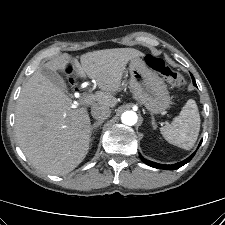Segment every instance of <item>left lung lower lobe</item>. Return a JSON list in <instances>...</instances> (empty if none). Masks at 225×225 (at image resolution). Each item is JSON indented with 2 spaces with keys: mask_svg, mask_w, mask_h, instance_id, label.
<instances>
[{
  "mask_svg": "<svg viewBox=\"0 0 225 225\" xmlns=\"http://www.w3.org/2000/svg\"><path fill=\"white\" fill-rule=\"evenodd\" d=\"M191 77H192V80H193V84L196 86V82H195V79H194L192 74H191ZM201 142H200V144H201ZM200 144H199V146H200ZM194 155H195V152L191 156H189L186 160H184L182 162H179L177 164H173V165H163V164L154 163V162L146 160L142 155H140V159L144 163H146L147 165H149L151 167H154V168L166 169V170H175V169H178V168L182 167L186 163H188L193 158Z\"/></svg>",
  "mask_w": 225,
  "mask_h": 225,
  "instance_id": "left-lung-lower-lobe-1",
  "label": "left lung lower lobe"
}]
</instances>
